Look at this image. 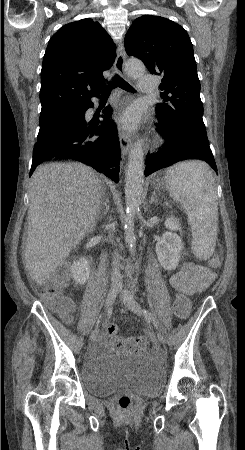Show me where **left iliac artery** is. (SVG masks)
<instances>
[{
	"label": "left iliac artery",
	"instance_id": "1",
	"mask_svg": "<svg viewBox=\"0 0 245 450\" xmlns=\"http://www.w3.org/2000/svg\"><path fill=\"white\" fill-rule=\"evenodd\" d=\"M145 317L149 320V322H152L153 325L158 329V324L156 322V319L154 316L151 315L147 310H143Z\"/></svg>",
	"mask_w": 245,
	"mask_h": 450
}]
</instances>
